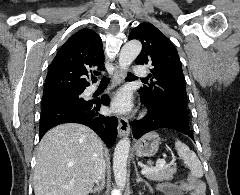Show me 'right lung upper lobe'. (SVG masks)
<instances>
[{
	"mask_svg": "<svg viewBox=\"0 0 240 195\" xmlns=\"http://www.w3.org/2000/svg\"><path fill=\"white\" fill-rule=\"evenodd\" d=\"M93 69L105 70L102 41L94 31L82 29L64 43L52 61L43 95L85 90L90 85L86 77Z\"/></svg>",
	"mask_w": 240,
	"mask_h": 195,
	"instance_id": "1",
	"label": "right lung upper lobe"
}]
</instances>
